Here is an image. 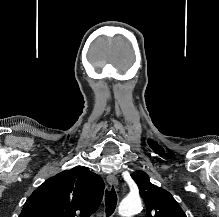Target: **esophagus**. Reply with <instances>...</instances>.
I'll return each instance as SVG.
<instances>
[{"mask_svg": "<svg viewBox=\"0 0 219 217\" xmlns=\"http://www.w3.org/2000/svg\"><path fill=\"white\" fill-rule=\"evenodd\" d=\"M107 183L110 187L118 184V179L114 174H109L107 176Z\"/></svg>", "mask_w": 219, "mask_h": 217, "instance_id": "esophagus-1", "label": "esophagus"}]
</instances>
